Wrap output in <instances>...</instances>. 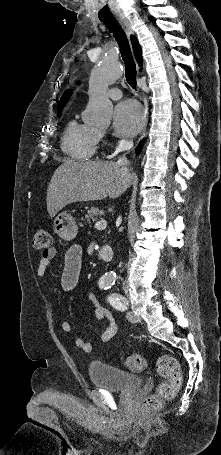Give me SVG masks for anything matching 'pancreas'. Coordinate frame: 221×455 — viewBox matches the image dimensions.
<instances>
[{"mask_svg": "<svg viewBox=\"0 0 221 455\" xmlns=\"http://www.w3.org/2000/svg\"><path fill=\"white\" fill-rule=\"evenodd\" d=\"M104 212L102 210H99L97 207H92L90 210H88L87 214L85 215V220L90 221H97L99 216H102Z\"/></svg>", "mask_w": 221, "mask_h": 455, "instance_id": "pancreas-1", "label": "pancreas"}]
</instances>
